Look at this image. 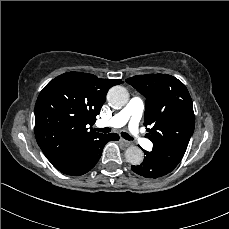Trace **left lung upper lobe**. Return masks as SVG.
Segmentation results:
<instances>
[{
    "label": "left lung upper lobe",
    "instance_id": "obj_1",
    "mask_svg": "<svg viewBox=\"0 0 229 229\" xmlns=\"http://www.w3.org/2000/svg\"><path fill=\"white\" fill-rule=\"evenodd\" d=\"M146 98L144 125L150 133L151 157L172 171L183 158L194 132L195 116L186 86L168 74L138 75L126 79Z\"/></svg>",
    "mask_w": 229,
    "mask_h": 229
}]
</instances>
